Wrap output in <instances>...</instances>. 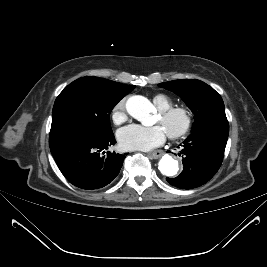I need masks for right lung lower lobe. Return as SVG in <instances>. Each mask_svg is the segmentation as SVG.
<instances>
[{"mask_svg":"<svg viewBox=\"0 0 267 267\" xmlns=\"http://www.w3.org/2000/svg\"><path fill=\"white\" fill-rule=\"evenodd\" d=\"M116 143L115 137L81 130H68L49 138L51 153L65 178L74 186L94 190L113 181L122 167L126 153L104 149Z\"/></svg>","mask_w":267,"mask_h":267,"instance_id":"obj_1","label":"right lung lower lobe"}]
</instances>
